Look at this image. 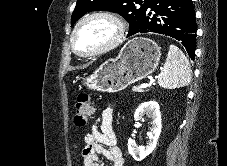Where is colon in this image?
Instances as JSON below:
<instances>
[{
    "label": "colon",
    "instance_id": "obj_1",
    "mask_svg": "<svg viewBox=\"0 0 227 166\" xmlns=\"http://www.w3.org/2000/svg\"><path fill=\"white\" fill-rule=\"evenodd\" d=\"M94 113V104L89 93H80L75 100L74 121L79 127L86 124Z\"/></svg>",
    "mask_w": 227,
    "mask_h": 166
}]
</instances>
